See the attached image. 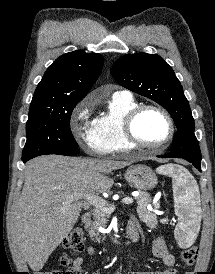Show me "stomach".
<instances>
[{"instance_id":"1","label":"stomach","mask_w":215,"mask_h":274,"mask_svg":"<svg viewBox=\"0 0 215 274\" xmlns=\"http://www.w3.org/2000/svg\"><path fill=\"white\" fill-rule=\"evenodd\" d=\"M126 181L139 191H148L157 185V177L146 165H133L124 175Z\"/></svg>"}]
</instances>
